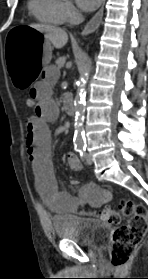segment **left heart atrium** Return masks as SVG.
<instances>
[{"mask_svg": "<svg viewBox=\"0 0 148 279\" xmlns=\"http://www.w3.org/2000/svg\"><path fill=\"white\" fill-rule=\"evenodd\" d=\"M102 0H76L79 7L85 11L94 10Z\"/></svg>", "mask_w": 148, "mask_h": 279, "instance_id": "39dd6f15", "label": "left heart atrium"}]
</instances>
